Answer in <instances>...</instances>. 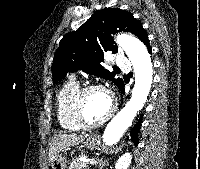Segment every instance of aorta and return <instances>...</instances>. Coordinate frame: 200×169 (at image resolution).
Masks as SVG:
<instances>
[{
  "mask_svg": "<svg viewBox=\"0 0 200 169\" xmlns=\"http://www.w3.org/2000/svg\"><path fill=\"white\" fill-rule=\"evenodd\" d=\"M117 43L125 51L133 65L135 84L131 99L105 128L103 141L109 146L120 140L124 132L131 126L138 111L143 108L153 79L152 62L146 46L138 38L126 34L119 35Z\"/></svg>",
  "mask_w": 200,
  "mask_h": 169,
  "instance_id": "1",
  "label": "aorta"
}]
</instances>
